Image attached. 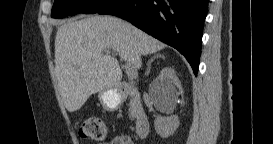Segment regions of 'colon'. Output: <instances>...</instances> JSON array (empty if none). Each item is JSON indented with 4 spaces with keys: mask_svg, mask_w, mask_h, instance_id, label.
<instances>
[{
    "mask_svg": "<svg viewBox=\"0 0 273 144\" xmlns=\"http://www.w3.org/2000/svg\"><path fill=\"white\" fill-rule=\"evenodd\" d=\"M79 135L83 139L102 141L106 136L104 121L97 116L87 117L80 125Z\"/></svg>",
    "mask_w": 273,
    "mask_h": 144,
    "instance_id": "1",
    "label": "colon"
}]
</instances>
